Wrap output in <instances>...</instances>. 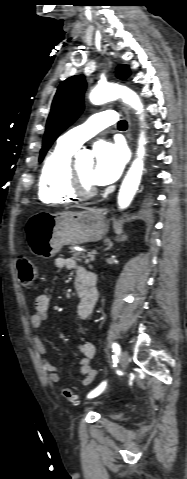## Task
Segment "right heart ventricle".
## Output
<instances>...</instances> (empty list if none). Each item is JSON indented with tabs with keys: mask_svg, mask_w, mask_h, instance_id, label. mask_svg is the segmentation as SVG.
I'll return each mask as SVG.
<instances>
[{
	"mask_svg": "<svg viewBox=\"0 0 187 479\" xmlns=\"http://www.w3.org/2000/svg\"><path fill=\"white\" fill-rule=\"evenodd\" d=\"M75 151L58 141L46 157L38 181V197L43 203H70L78 198L69 186L71 159Z\"/></svg>",
	"mask_w": 187,
	"mask_h": 479,
	"instance_id": "1",
	"label": "right heart ventricle"
}]
</instances>
